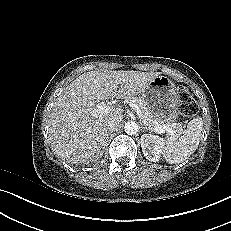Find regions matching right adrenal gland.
Returning <instances> with one entry per match:
<instances>
[{
    "mask_svg": "<svg viewBox=\"0 0 231 231\" xmlns=\"http://www.w3.org/2000/svg\"><path fill=\"white\" fill-rule=\"evenodd\" d=\"M108 140H109V135L106 137L105 144H104V148H105V146L107 145Z\"/></svg>",
    "mask_w": 231,
    "mask_h": 231,
    "instance_id": "obj_1",
    "label": "right adrenal gland"
}]
</instances>
